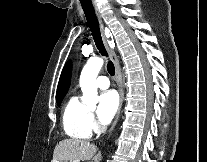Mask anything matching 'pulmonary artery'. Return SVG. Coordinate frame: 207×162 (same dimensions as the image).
Here are the masks:
<instances>
[{
  "mask_svg": "<svg viewBox=\"0 0 207 162\" xmlns=\"http://www.w3.org/2000/svg\"><path fill=\"white\" fill-rule=\"evenodd\" d=\"M96 86L100 89H107L110 85L109 79L106 76H99L95 82Z\"/></svg>",
  "mask_w": 207,
  "mask_h": 162,
  "instance_id": "obj_1",
  "label": "pulmonary artery"
}]
</instances>
